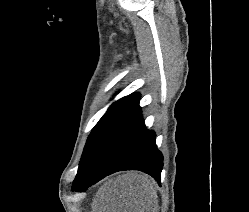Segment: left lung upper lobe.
Instances as JSON below:
<instances>
[{
    "instance_id": "1",
    "label": "left lung upper lobe",
    "mask_w": 249,
    "mask_h": 212,
    "mask_svg": "<svg viewBox=\"0 0 249 212\" xmlns=\"http://www.w3.org/2000/svg\"><path fill=\"white\" fill-rule=\"evenodd\" d=\"M139 99L140 94L138 93H133L125 96L119 99L117 102L113 103L107 110V112L102 116L87 139L76 178L82 173V171L88 164L98 144L107 133V131L126 111H128L133 105H135L139 101Z\"/></svg>"
}]
</instances>
